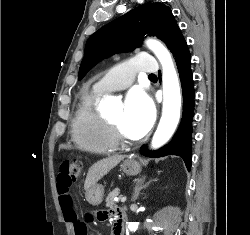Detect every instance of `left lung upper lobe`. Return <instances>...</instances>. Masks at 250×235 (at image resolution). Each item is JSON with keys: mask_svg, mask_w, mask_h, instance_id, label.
Returning <instances> with one entry per match:
<instances>
[{"mask_svg": "<svg viewBox=\"0 0 250 235\" xmlns=\"http://www.w3.org/2000/svg\"><path fill=\"white\" fill-rule=\"evenodd\" d=\"M179 31L169 7L162 3L143 4L89 37L79 69V80L103 58L139 47L147 34L158 37L171 49Z\"/></svg>", "mask_w": 250, "mask_h": 235, "instance_id": "obj_1", "label": "left lung upper lobe"}]
</instances>
